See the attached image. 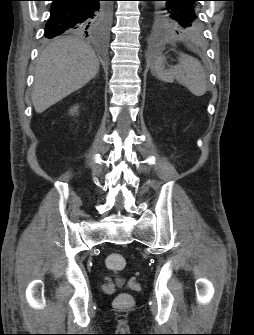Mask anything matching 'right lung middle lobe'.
<instances>
[{
	"mask_svg": "<svg viewBox=\"0 0 254 335\" xmlns=\"http://www.w3.org/2000/svg\"><path fill=\"white\" fill-rule=\"evenodd\" d=\"M111 15V4L110 3H103L102 4V10L100 12L99 19L95 22V24L91 27L89 33H85L83 30L76 31L74 33L77 34H90V33H99L104 32L107 29V26L109 24Z\"/></svg>",
	"mask_w": 254,
	"mask_h": 335,
	"instance_id": "right-lung-middle-lobe-1",
	"label": "right lung middle lobe"
}]
</instances>
